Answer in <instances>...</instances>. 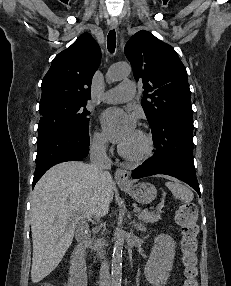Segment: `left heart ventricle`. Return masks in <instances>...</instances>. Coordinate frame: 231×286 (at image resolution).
I'll use <instances>...</instances> for the list:
<instances>
[{"label":"left heart ventricle","instance_id":"obj_1","mask_svg":"<svg viewBox=\"0 0 231 286\" xmlns=\"http://www.w3.org/2000/svg\"><path fill=\"white\" fill-rule=\"evenodd\" d=\"M123 148L129 153H133V154L139 153L144 148L143 139L136 132L133 138L128 143L123 145Z\"/></svg>","mask_w":231,"mask_h":286}]
</instances>
